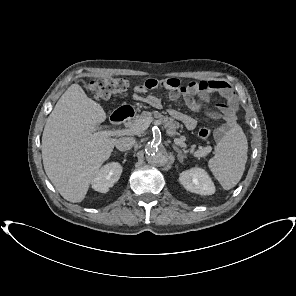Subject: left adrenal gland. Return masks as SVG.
<instances>
[{"label":"left adrenal gland","mask_w":296,"mask_h":296,"mask_svg":"<svg viewBox=\"0 0 296 296\" xmlns=\"http://www.w3.org/2000/svg\"><path fill=\"white\" fill-rule=\"evenodd\" d=\"M173 149L177 152V158L180 162H183L184 158L186 156L183 154V152L175 145H173Z\"/></svg>","instance_id":"left-adrenal-gland-1"}]
</instances>
